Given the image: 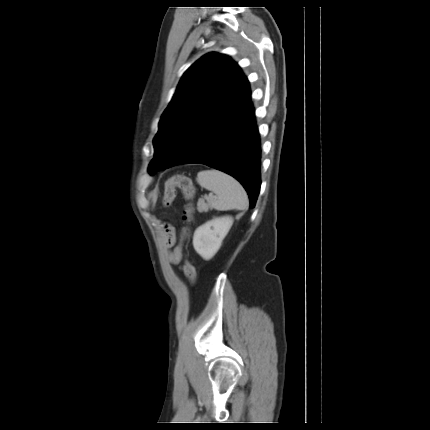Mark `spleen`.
Here are the masks:
<instances>
[{"label":"spleen","instance_id":"spleen-1","mask_svg":"<svg viewBox=\"0 0 430 430\" xmlns=\"http://www.w3.org/2000/svg\"><path fill=\"white\" fill-rule=\"evenodd\" d=\"M197 182L200 186L216 194L211 206L216 210H246L248 197L242 185L232 176L218 170L198 172Z\"/></svg>","mask_w":430,"mask_h":430}]
</instances>
